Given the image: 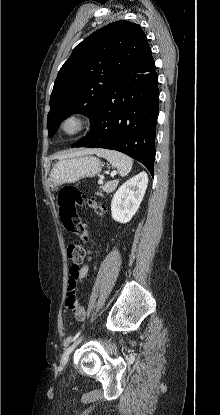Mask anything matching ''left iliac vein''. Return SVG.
I'll use <instances>...</instances> for the list:
<instances>
[{"label": "left iliac vein", "mask_w": 220, "mask_h": 415, "mask_svg": "<svg viewBox=\"0 0 220 415\" xmlns=\"http://www.w3.org/2000/svg\"><path fill=\"white\" fill-rule=\"evenodd\" d=\"M83 340V337H80L79 339H77L70 347H68L66 349V351L64 352L63 356H62V364H66L68 362L69 356L70 354L74 351V349L76 348V346Z\"/></svg>", "instance_id": "left-iliac-vein-1"}]
</instances>
